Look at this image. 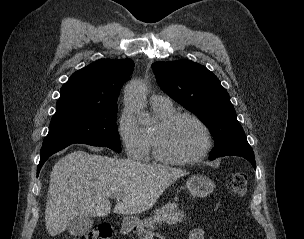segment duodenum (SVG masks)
<instances>
[{
	"label": "duodenum",
	"instance_id": "duodenum-1",
	"mask_svg": "<svg viewBox=\"0 0 304 239\" xmlns=\"http://www.w3.org/2000/svg\"><path fill=\"white\" fill-rule=\"evenodd\" d=\"M134 224H135L134 220L125 219L121 224V228H120L121 233L122 234L129 233L133 229Z\"/></svg>",
	"mask_w": 304,
	"mask_h": 239
}]
</instances>
